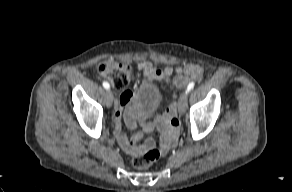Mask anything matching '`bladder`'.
<instances>
[{
	"label": "bladder",
	"mask_w": 292,
	"mask_h": 192,
	"mask_svg": "<svg viewBox=\"0 0 292 192\" xmlns=\"http://www.w3.org/2000/svg\"><path fill=\"white\" fill-rule=\"evenodd\" d=\"M163 100L164 96L161 89L151 82L143 84L133 98L135 109L142 116L158 110Z\"/></svg>",
	"instance_id": "1"
}]
</instances>
